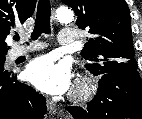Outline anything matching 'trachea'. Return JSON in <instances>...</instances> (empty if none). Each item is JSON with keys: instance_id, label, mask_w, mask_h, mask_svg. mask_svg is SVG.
Returning <instances> with one entry per match:
<instances>
[{"instance_id": "3493384b", "label": "trachea", "mask_w": 142, "mask_h": 119, "mask_svg": "<svg viewBox=\"0 0 142 119\" xmlns=\"http://www.w3.org/2000/svg\"><path fill=\"white\" fill-rule=\"evenodd\" d=\"M50 16H51V5L49 0H40L37 8V15L35 20L34 31L31 35L32 40L38 39L42 34H49L50 29ZM15 41H19V36H14Z\"/></svg>"}]
</instances>
